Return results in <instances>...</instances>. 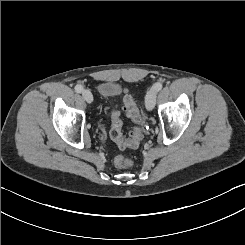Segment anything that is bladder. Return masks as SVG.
Returning <instances> with one entry per match:
<instances>
[{
    "label": "bladder",
    "mask_w": 245,
    "mask_h": 245,
    "mask_svg": "<svg viewBox=\"0 0 245 245\" xmlns=\"http://www.w3.org/2000/svg\"><path fill=\"white\" fill-rule=\"evenodd\" d=\"M120 87L113 82H101L99 84V93L102 98H108L119 94Z\"/></svg>",
    "instance_id": "1"
}]
</instances>
